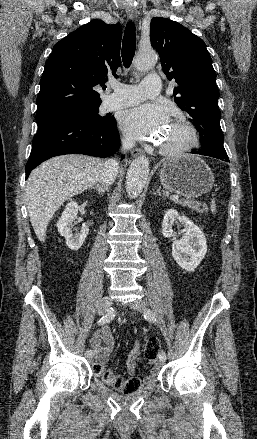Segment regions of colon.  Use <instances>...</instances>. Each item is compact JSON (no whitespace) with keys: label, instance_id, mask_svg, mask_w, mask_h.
<instances>
[{"label":"colon","instance_id":"obj_1","mask_svg":"<svg viewBox=\"0 0 257 439\" xmlns=\"http://www.w3.org/2000/svg\"><path fill=\"white\" fill-rule=\"evenodd\" d=\"M215 203L211 204V211L215 212ZM159 340L156 337L149 338L145 343L144 353L148 359H155L159 350ZM93 372L102 378V380L120 390L124 394H131L136 392L141 387V381L138 378H124L120 375L114 374L111 370L106 369L103 365L95 363L93 365Z\"/></svg>","mask_w":257,"mask_h":439}]
</instances>
